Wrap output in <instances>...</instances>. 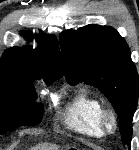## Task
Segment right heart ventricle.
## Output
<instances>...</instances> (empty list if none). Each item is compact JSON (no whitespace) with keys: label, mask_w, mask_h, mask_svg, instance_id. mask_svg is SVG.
Returning <instances> with one entry per match:
<instances>
[{"label":"right heart ventricle","mask_w":139,"mask_h":150,"mask_svg":"<svg viewBox=\"0 0 139 150\" xmlns=\"http://www.w3.org/2000/svg\"><path fill=\"white\" fill-rule=\"evenodd\" d=\"M101 101L85 91H81L68 103L64 123L71 130L90 137H102L99 115Z\"/></svg>","instance_id":"1"}]
</instances>
